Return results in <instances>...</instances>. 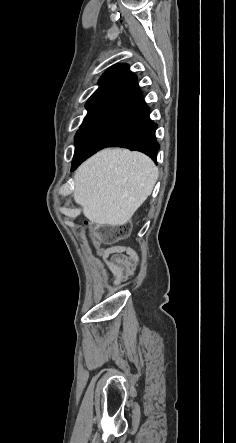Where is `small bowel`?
<instances>
[{"label": "small bowel", "mask_w": 236, "mask_h": 443, "mask_svg": "<svg viewBox=\"0 0 236 443\" xmlns=\"http://www.w3.org/2000/svg\"><path fill=\"white\" fill-rule=\"evenodd\" d=\"M111 256V258H109ZM102 259L107 265L109 274L115 277L114 284L120 285L136 267L137 257L135 253L124 247H110L105 249L102 254Z\"/></svg>", "instance_id": "1"}]
</instances>
